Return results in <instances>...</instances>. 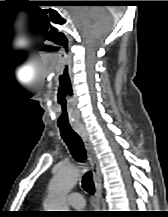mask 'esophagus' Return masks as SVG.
<instances>
[{
    "label": "esophagus",
    "mask_w": 168,
    "mask_h": 217,
    "mask_svg": "<svg viewBox=\"0 0 168 217\" xmlns=\"http://www.w3.org/2000/svg\"><path fill=\"white\" fill-rule=\"evenodd\" d=\"M73 129L79 134V136L83 140L84 147L93 172V180L96 188L95 199L98 204V207H100L101 197H102V175H101L98 159L96 157V154L94 152L93 146L90 142L85 127L82 124H78L73 126Z\"/></svg>",
    "instance_id": "obj_1"
}]
</instances>
